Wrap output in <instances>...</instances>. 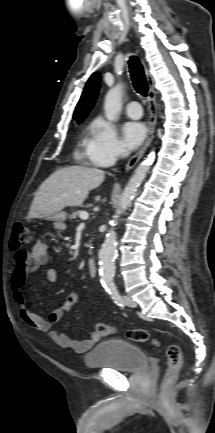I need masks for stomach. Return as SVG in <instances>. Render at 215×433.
Returning <instances> with one entry per match:
<instances>
[{
  "mask_svg": "<svg viewBox=\"0 0 215 433\" xmlns=\"http://www.w3.org/2000/svg\"><path fill=\"white\" fill-rule=\"evenodd\" d=\"M66 217H67V214L64 211H59L57 213L52 214L48 218L50 220L57 222V223H63L65 221Z\"/></svg>",
  "mask_w": 215,
  "mask_h": 433,
  "instance_id": "0dacf381",
  "label": "stomach"
}]
</instances>
